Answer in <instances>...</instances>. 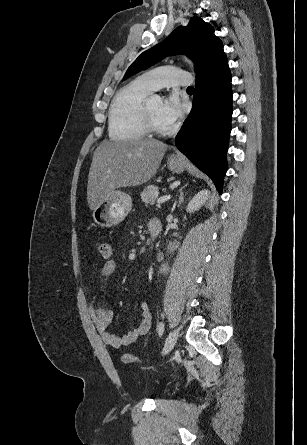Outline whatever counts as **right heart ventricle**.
<instances>
[{"label": "right heart ventricle", "mask_w": 307, "mask_h": 445, "mask_svg": "<svg viewBox=\"0 0 307 445\" xmlns=\"http://www.w3.org/2000/svg\"><path fill=\"white\" fill-rule=\"evenodd\" d=\"M147 79L137 80L121 90L109 110V136L113 140H147L142 107L153 92Z\"/></svg>", "instance_id": "obj_1"}]
</instances>
